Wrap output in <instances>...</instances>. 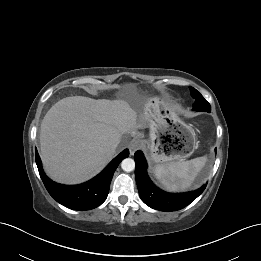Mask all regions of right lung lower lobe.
Instances as JSON below:
<instances>
[{"mask_svg":"<svg viewBox=\"0 0 261 261\" xmlns=\"http://www.w3.org/2000/svg\"><path fill=\"white\" fill-rule=\"evenodd\" d=\"M126 149L115 157L95 178L80 185H61L50 180L42 170L41 160L36 150V164L41 179L50 195L60 204L73 210H90L101 205L109 193L113 174L119 163L128 157Z\"/></svg>","mask_w":261,"mask_h":261,"instance_id":"98d812e1","label":"right lung lower lobe"}]
</instances>
